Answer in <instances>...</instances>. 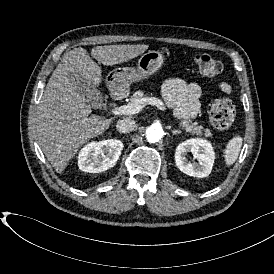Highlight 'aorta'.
I'll use <instances>...</instances> for the list:
<instances>
[{
  "instance_id": "obj_1",
  "label": "aorta",
  "mask_w": 274,
  "mask_h": 274,
  "mask_svg": "<svg viewBox=\"0 0 274 274\" xmlns=\"http://www.w3.org/2000/svg\"><path fill=\"white\" fill-rule=\"evenodd\" d=\"M164 135V131L160 124H152L146 130V138L149 143L158 142Z\"/></svg>"
}]
</instances>
